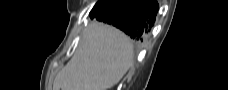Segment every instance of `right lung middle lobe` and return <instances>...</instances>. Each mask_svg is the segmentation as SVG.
I'll use <instances>...</instances> for the list:
<instances>
[{"mask_svg": "<svg viewBox=\"0 0 228 90\" xmlns=\"http://www.w3.org/2000/svg\"><path fill=\"white\" fill-rule=\"evenodd\" d=\"M103 1L104 0H99L98 2H97V4L96 5H98L99 7L101 6V4L103 3Z\"/></svg>", "mask_w": 228, "mask_h": 90, "instance_id": "dd1d6c3e", "label": "right lung middle lobe"}]
</instances>
